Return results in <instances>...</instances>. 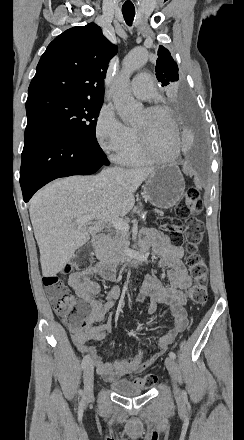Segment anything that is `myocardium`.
I'll use <instances>...</instances> for the list:
<instances>
[{"mask_svg":"<svg viewBox=\"0 0 244 440\" xmlns=\"http://www.w3.org/2000/svg\"><path fill=\"white\" fill-rule=\"evenodd\" d=\"M146 112H150V111H167V115H168V121H169V126L171 127V130H169V133H171L172 135V141H171V155L168 158H164V157H160V158H156V162L160 165H172L174 163V161L177 159V149H178V134L176 131V127L174 126V116L172 114V110H167V107L164 105H151L145 108ZM135 130L139 133V145L140 147H145V134L147 133L146 131H142V130H138L135 127ZM155 149H158L157 146L154 147ZM155 149H150L149 153L153 155V159H154V154H155Z\"/></svg>","mask_w":244,"mask_h":440,"instance_id":"f54148a6","label":"myocardium"}]
</instances>
